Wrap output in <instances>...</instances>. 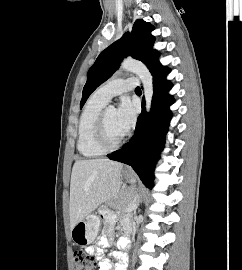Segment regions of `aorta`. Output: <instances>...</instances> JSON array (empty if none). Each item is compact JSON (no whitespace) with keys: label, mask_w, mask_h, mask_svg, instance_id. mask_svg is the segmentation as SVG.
<instances>
[{"label":"aorta","mask_w":242,"mask_h":270,"mask_svg":"<svg viewBox=\"0 0 242 270\" xmlns=\"http://www.w3.org/2000/svg\"><path fill=\"white\" fill-rule=\"evenodd\" d=\"M120 68L124 71L136 74L141 80L144 90L145 107L146 111L149 112L153 97V78L148 68L142 62L134 59H125L121 63ZM108 109L114 110V107L109 106Z\"/></svg>","instance_id":"1"}]
</instances>
